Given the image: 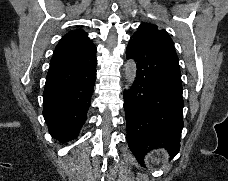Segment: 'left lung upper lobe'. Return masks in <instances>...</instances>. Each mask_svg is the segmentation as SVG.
<instances>
[{"mask_svg": "<svg viewBox=\"0 0 228 181\" xmlns=\"http://www.w3.org/2000/svg\"><path fill=\"white\" fill-rule=\"evenodd\" d=\"M132 38L176 53L174 50L173 41L171 40L170 36L166 31L158 30L156 25L150 23H142Z\"/></svg>", "mask_w": 228, "mask_h": 181, "instance_id": "1", "label": "left lung upper lobe"}]
</instances>
